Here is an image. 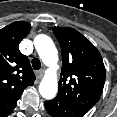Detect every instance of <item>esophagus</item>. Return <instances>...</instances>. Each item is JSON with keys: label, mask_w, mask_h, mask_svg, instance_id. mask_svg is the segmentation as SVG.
<instances>
[{"label": "esophagus", "mask_w": 117, "mask_h": 117, "mask_svg": "<svg viewBox=\"0 0 117 117\" xmlns=\"http://www.w3.org/2000/svg\"><path fill=\"white\" fill-rule=\"evenodd\" d=\"M43 73H44V71H43V70H39V71H37V73H36L37 78L41 79V78H42V76H43Z\"/></svg>", "instance_id": "34e87169"}]
</instances>
